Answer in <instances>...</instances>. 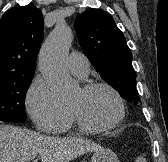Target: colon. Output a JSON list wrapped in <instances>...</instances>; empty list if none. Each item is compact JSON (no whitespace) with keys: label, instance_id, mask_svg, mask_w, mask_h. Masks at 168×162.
Returning <instances> with one entry per match:
<instances>
[{"label":"colon","instance_id":"5ec220e1","mask_svg":"<svg viewBox=\"0 0 168 162\" xmlns=\"http://www.w3.org/2000/svg\"><path fill=\"white\" fill-rule=\"evenodd\" d=\"M134 162H147L146 158L144 156H137L135 158V161Z\"/></svg>","mask_w":168,"mask_h":162}]
</instances>
